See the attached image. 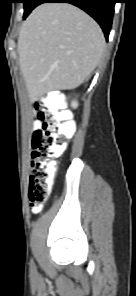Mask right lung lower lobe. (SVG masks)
Masks as SVG:
<instances>
[{"mask_svg":"<svg viewBox=\"0 0 136 296\" xmlns=\"http://www.w3.org/2000/svg\"><path fill=\"white\" fill-rule=\"evenodd\" d=\"M41 3H70L81 8L98 22L108 40L116 0H38L37 6Z\"/></svg>","mask_w":136,"mask_h":296,"instance_id":"98d812e1","label":"right lung lower lobe"}]
</instances>
